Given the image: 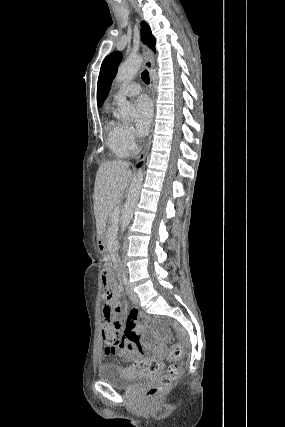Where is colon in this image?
<instances>
[{"mask_svg":"<svg viewBox=\"0 0 285 427\" xmlns=\"http://www.w3.org/2000/svg\"><path fill=\"white\" fill-rule=\"evenodd\" d=\"M102 282L105 287L104 301L105 306L110 310H114V284L111 277V270L104 266L101 270ZM173 326L180 331L177 323ZM102 338L105 343L106 355H111L116 350L120 349V331L119 328L113 324H104L102 326ZM183 354V346L180 343L174 344L169 351V359L173 362L169 365L165 374H161L159 382L146 389V400L148 402H156L159 398L169 390L174 380H176L181 372V366L177 359ZM138 368L150 372L160 373L163 368L161 361L154 358H142L135 361Z\"/></svg>","mask_w":285,"mask_h":427,"instance_id":"5ec220e1","label":"colon"}]
</instances>
